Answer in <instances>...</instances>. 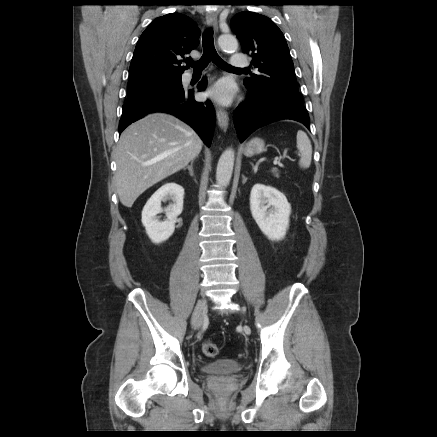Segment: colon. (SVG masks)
I'll list each match as a JSON object with an SVG mask.
<instances>
[{"mask_svg": "<svg viewBox=\"0 0 437 437\" xmlns=\"http://www.w3.org/2000/svg\"><path fill=\"white\" fill-rule=\"evenodd\" d=\"M202 352L206 357L213 358L218 355L219 349L214 342L206 340L202 345Z\"/></svg>", "mask_w": 437, "mask_h": 437, "instance_id": "5ec220e1", "label": "colon"}]
</instances>
